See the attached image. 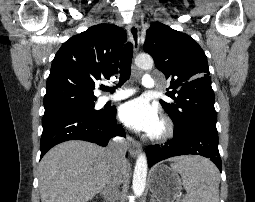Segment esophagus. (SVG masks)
I'll use <instances>...</instances> for the list:
<instances>
[{"label": "esophagus", "instance_id": "obj_1", "mask_svg": "<svg viewBox=\"0 0 255 202\" xmlns=\"http://www.w3.org/2000/svg\"><path fill=\"white\" fill-rule=\"evenodd\" d=\"M127 31L129 39L133 44L134 52L138 51L139 48V28L135 21H131L127 26ZM129 142V152L132 157H136L140 152V144L133 140L131 137H128Z\"/></svg>", "mask_w": 255, "mask_h": 202}]
</instances>
